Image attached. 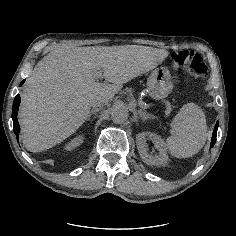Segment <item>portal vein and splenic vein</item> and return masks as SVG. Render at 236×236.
Returning <instances> with one entry per match:
<instances>
[{
	"label": "portal vein and splenic vein",
	"instance_id": "portal-vein-and-splenic-vein-1",
	"mask_svg": "<svg viewBox=\"0 0 236 236\" xmlns=\"http://www.w3.org/2000/svg\"><path fill=\"white\" fill-rule=\"evenodd\" d=\"M102 77V73L101 72H97L96 74L93 75V79L94 80H98Z\"/></svg>",
	"mask_w": 236,
	"mask_h": 236
}]
</instances>
